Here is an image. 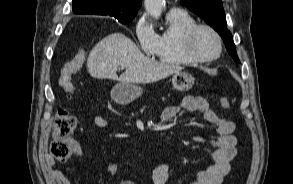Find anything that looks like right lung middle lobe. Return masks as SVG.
I'll return each instance as SVG.
<instances>
[{"label":"right lung middle lobe","instance_id":"1","mask_svg":"<svg viewBox=\"0 0 293 184\" xmlns=\"http://www.w3.org/2000/svg\"><path fill=\"white\" fill-rule=\"evenodd\" d=\"M134 18H127V19H120L118 20L119 22L123 23V24H126V23H129L130 21H132Z\"/></svg>","mask_w":293,"mask_h":184}]
</instances>
